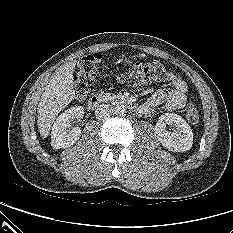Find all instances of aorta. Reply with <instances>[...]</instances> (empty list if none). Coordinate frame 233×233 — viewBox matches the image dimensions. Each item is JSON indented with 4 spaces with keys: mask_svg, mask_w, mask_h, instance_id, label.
<instances>
[{
    "mask_svg": "<svg viewBox=\"0 0 233 233\" xmlns=\"http://www.w3.org/2000/svg\"><path fill=\"white\" fill-rule=\"evenodd\" d=\"M114 112L118 116H124L127 112L126 106L123 104L116 105V107L114 108Z\"/></svg>",
    "mask_w": 233,
    "mask_h": 233,
    "instance_id": "aorta-1",
    "label": "aorta"
}]
</instances>
